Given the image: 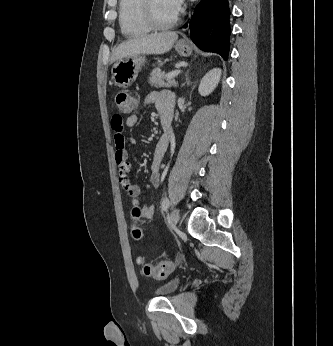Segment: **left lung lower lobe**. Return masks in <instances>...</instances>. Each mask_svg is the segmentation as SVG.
I'll list each match as a JSON object with an SVG mask.
<instances>
[{
  "label": "left lung lower lobe",
  "instance_id": "0a47b994",
  "mask_svg": "<svg viewBox=\"0 0 333 346\" xmlns=\"http://www.w3.org/2000/svg\"><path fill=\"white\" fill-rule=\"evenodd\" d=\"M189 28L192 41L200 49L218 53L227 60L231 33L228 0H202Z\"/></svg>",
  "mask_w": 333,
  "mask_h": 346
}]
</instances>
